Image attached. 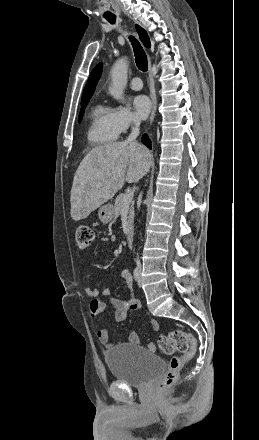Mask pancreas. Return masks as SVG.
<instances>
[{
    "label": "pancreas",
    "instance_id": "pancreas-1",
    "mask_svg": "<svg viewBox=\"0 0 259 440\" xmlns=\"http://www.w3.org/2000/svg\"><path fill=\"white\" fill-rule=\"evenodd\" d=\"M126 194H120L115 199V205H114V216L118 217L121 214V210L124 207H127L128 209V216H127V228L130 230L132 228L133 220H134V206L131 202L127 206L123 205L122 199Z\"/></svg>",
    "mask_w": 259,
    "mask_h": 440
}]
</instances>
